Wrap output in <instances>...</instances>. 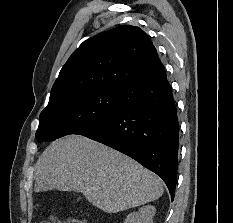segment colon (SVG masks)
<instances>
[{"label": "colon", "mask_w": 233, "mask_h": 223, "mask_svg": "<svg viewBox=\"0 0 233 223\" xmlns=\"http://www.w3.org/2000/svg\"><path fill=\"white\" fill-rule=\"evenodd\" d=\"M48 223H63V221L55 216H51ZM70 223H85V221L74 219L71 220Z\"/></svg>", "instance_id": "1"}]
</instances>
